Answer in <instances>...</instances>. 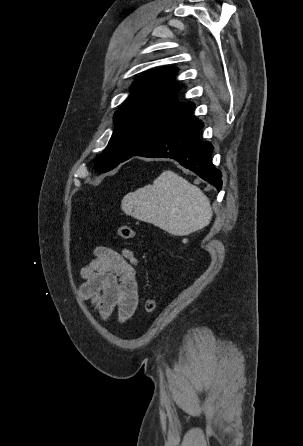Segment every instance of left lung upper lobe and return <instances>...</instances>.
<instances>
[{
  "instance_id": "1",
  "label": "left lung upper lobe",
  "mask_w": 303,
  "mask_h": 446,
  "mask_svg": "<svg viewBox=\"0 0 303 446\" xmlns=\"http://www.w3.org/2000/svg\"><path fill=\"white\" fill-rule=\"evenodd\" d=\"M177 68L163 67L136 79L132 94L114 115L116 128L96 169L107 172L124 158L175 131L193 112V103L177 101L180 88L173 77Z\"/></svg>"
}]
</instances>
